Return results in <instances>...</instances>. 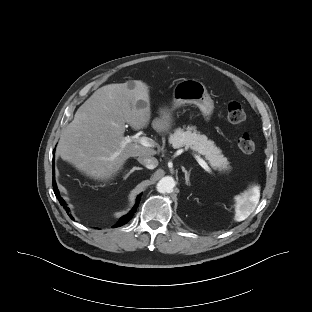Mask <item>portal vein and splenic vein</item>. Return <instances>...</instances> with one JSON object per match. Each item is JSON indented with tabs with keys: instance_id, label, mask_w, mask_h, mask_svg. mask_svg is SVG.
Returning a JSON list of instances; mask_svg holds the SVG:
<instances>
[{
	"instance_id": "portal-vein-and-splenic-vein-1",
	"label": "portal vein and splenic vein",
	"mask_w": 312,
	"mask_h": 312,
	"mask_svg": "<svg viewBox=\"0 0 312 312\" xmlns=\"http://www.w3.org/2000/svg\"><path fill=\"white\" fill-rule=\"evenodd\" d=\"M129 142H136V143H139L145 147H154L155 146L154 140H152L151 138L145 137V136H142V137H126L125 141L123 142V147L125 146L126 143H129ZM120 152L115 153L114 156L119 155ZM196 159L202 168H204L208 172L211 171L208 164L202 158H200L199 156H196Z\"/></svg>"
}]
</instances>
